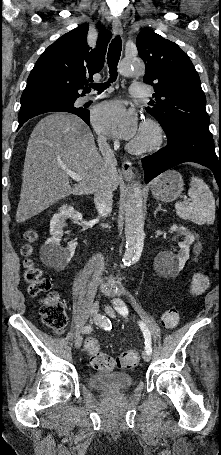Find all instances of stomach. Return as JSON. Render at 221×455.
Listing matches in <instances>:
<instances>
[{
	"instance_id": "obj_1",
	"label": "stomach",
	"mask_w": 221,
	"mask_h": 455,
	"mask_svg": "<svg viewBox=\"0 0 221 455\" xmlns=\"http://www.w3.org/2000/svg\"><path fill=\"white\" fill-rule=\"evenodd\" d=\"M183 179L180 173L169 170L159 175L151 184L152 195L162 202H172L183 191Z\"/></svg>"
}]
</instances>
